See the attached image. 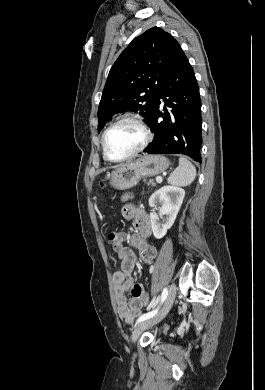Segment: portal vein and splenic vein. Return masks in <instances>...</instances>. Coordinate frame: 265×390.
<instances>
[{
	"instance_id": "1",
	"label": "portal vein and splenic vein",
	"mask_w": 265,
	"mask_h": 390,
	"mask_svg": "<svg viewBox=\"0 0 265 390\" xmlns=\"http://www.w3.org/2000/svg\"><path fill=\"white\" fill-rule=\"evenodd\" d=\"M156 181H157L158 183H161V182H162V177H157V178H156Z\"/></svg>"
}]
</instances>
